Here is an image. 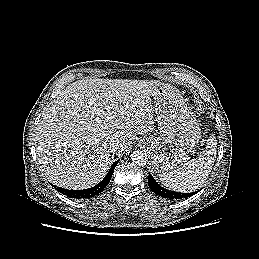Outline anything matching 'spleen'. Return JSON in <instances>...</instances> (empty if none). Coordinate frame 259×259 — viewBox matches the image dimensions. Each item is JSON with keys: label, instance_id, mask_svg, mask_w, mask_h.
I'll list each match as a JSON object with an SVG mask.
<instances>
[{"label": "spleen", "instance_id": "spleen-1", "mask_svg": "<svg viewBox=\"0 0 259 259\" xmlns=\"http://www.w3.org/2000/svg\"><path fill=\"white\" fill-rule=\"evenodd\" d=\"M216 152L217 140L212 135L198 158L191 159L177 170L159 174L160 181L167 188L178 192H192L199 189L212 170Z\"/></svg>", "mask_w": 259, "mask_h": 259}]
</instances>
